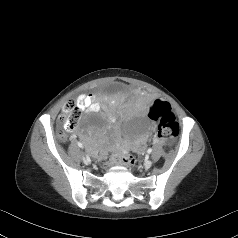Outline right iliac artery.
<instances>
[{"instance_id": "obj_1", "label": "right iliac artery", "mask_w": 238, "mask_h": 238, "mask_svg": "<svg viewBox=\"0 0 238 238\" xmlns=\"http://www.w3.org/2000/svg\"><path fill=\"white\" fill-rule=\"evenodd\" d=\"M77 144H78V146H79L80 148H82V147H83V145H82V143H81V142H78Z\"/></svg>"}]
</instances>
